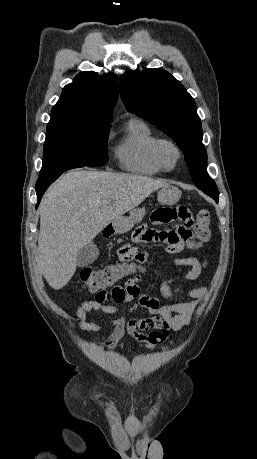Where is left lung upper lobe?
Masks as SVG:
<instances>
[{"mask_svg":"<svg viewBox=\"0 0 257 459\" xmlns=\"http://www.w3.org/2000/svg\"><path fill=\"white\" fill-rule=\"evenodd\" d=\"M121 98L131 113L156 125L184 152L195 185L218 202L219 192L207 173L201 121L194 99L162 69L128 71L120 76Z\"/></svg>","mask_w":257,"mask_h":459,"instance_id":"5c2ea615","label":"left lung upper lobe"}]
</instances>
